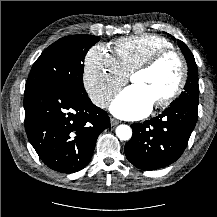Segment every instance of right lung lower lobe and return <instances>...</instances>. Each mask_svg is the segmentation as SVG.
Here are the masks:
<instances>
[{
  "instance_id": "1",
  "label": "right lung lower lobe",
  "mask_w": 217,
  "mask_h": 217,
  "mask_svg": "<svg viewBox=\"0 0 217 217\" xmlns=\"http://www.w3.org/2000/svg\"><path fill=\"white\" fill-rule=\"evenodd\" d=\"M25 129L40 159L51 169L74 173L89 162L107 113L86 93L63 85L25 91Z\"/></svg>"
}]
</instances>
